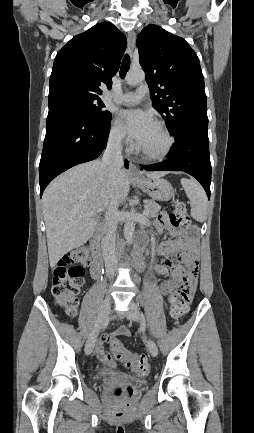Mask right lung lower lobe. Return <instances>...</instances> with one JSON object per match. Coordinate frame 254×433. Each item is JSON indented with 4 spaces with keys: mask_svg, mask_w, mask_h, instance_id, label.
Instances as JSON below:
<instances>
[{
    "mask_svg": "<svg viewBox=\"0 0 254 433\" xmlns=\"http://www.w3.org/2000/svg\"><path fill=\"white\" fill-rule=\"evenodd\" d=\"M110 122L111 117L95 120L74 108L49 107L39 164L40 197L57 175L100 156L108 140ZM125 166L128 167V161Z\"/></svg>",
    "mask_w": 254,
    "mask_h": 433,
    "instance_id": "right-lung-lower-lobe-1",
    "label": "right lung lower lobe"
}]
</instances>
